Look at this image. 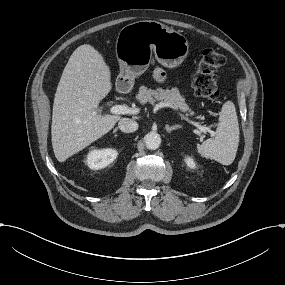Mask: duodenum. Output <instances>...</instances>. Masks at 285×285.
I'll return each instance as SVG.
<instances>
[{
  "mask_svg": "<svg viewBox=\"0 0 285 285\" xmlns=\"http://www.w3.org/2000/svg\"><path fill=\"white\" fill-rule=\"evenodd\" d=\"M116 93L121 98H127L131 95L134 86L128 77H121L115 84Z\"/></svg>",
  "mask_w": 285,
  "mask_h": 285,
  "instance_id": "1",
  "label": "duodenum"
}]
</instances>
